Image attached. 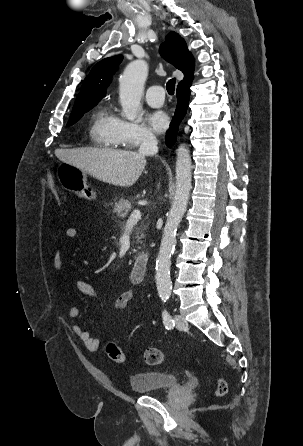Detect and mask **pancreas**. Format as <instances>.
Returning <instances> with one entry per match:
<instances>
[{"label": "pancreas", "instance_id": "cf45deb5", "mask_svg": "<svg viewBox=\"0 0 303 446\" xmlns=\"http://www.w3.org/2000/svg\"><path fill=\"white\" fill-rule=\"evenodd\" d=\"M131 209H132V205H131L130 201H128L124 198H121L119 200V202L115 204L113 212L116 213L117 217L124 219L127 217L129 212L131 211ZM140 233H141L140 230H138V234H140ZM142 237H143V234H141L140 238H142ZM140 238L138 237V239H140Z\"/></svg>", "mask_w": 303, "mask_h": 446}]
</instances>
